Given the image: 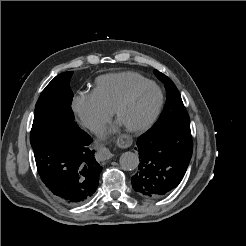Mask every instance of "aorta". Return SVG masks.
<instances>
[{"instance_id":"1","label":"aorta","mask_w":246,"mask_h":246,"mask_svg":"<svg viewBox=\"0 0 246 246\" xmlns=\"http://www.w3.org/2000/svg\"><path fill=\"white\" fill-rule=\"evenodd\" d=\"M120 166L124 170H134L139 165V156L133 152H125L120 156Z\"/></svg>"}]
</instances>
